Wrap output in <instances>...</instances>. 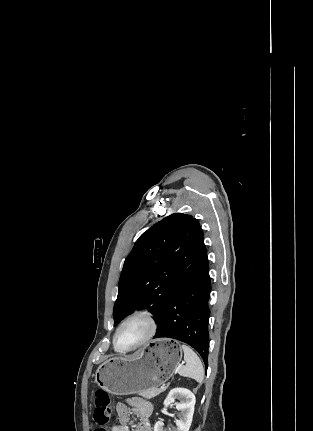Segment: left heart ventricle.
<instances>
[{
  "label": "left heart ventricle",
  "instance_id": "1",
  "mask_svg": "<svg viewBox=\"0 0 313 431\" xmlns=\"http://www.w3.org/2000/svg\"><path fill=\"white\" fill-rule=\"evenodd\" d=\"M149 325L144 319H135L125 324L117 336V345L122 349L130 348L147 335Z\"/></svg>",
  "mask_w": 313,
  "mask_h": 431
}]
</instances>
